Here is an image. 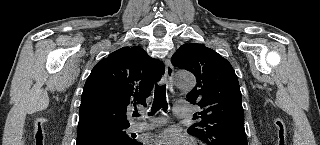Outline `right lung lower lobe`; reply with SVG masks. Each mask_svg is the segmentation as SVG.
<instances>
[{
	"mask_svg": "<svg viewBox=\"0 0 320 145\" xmlns=\"http://www.w3.org/2000/svg\"><path fill=\"white\" fill-rule=\"evenodd\" d=\"M77 145H129L118 141L110 136L99 133H85L77 136ZM132 145H142L140 142L134 141Z\"/></svg>",
	"mask_w": 320,
	"mask_h": 145,
	"instance_id": "right-lung-lower-lobe-1",
	"label": "right lung lower lobe"
}]
</instances>
